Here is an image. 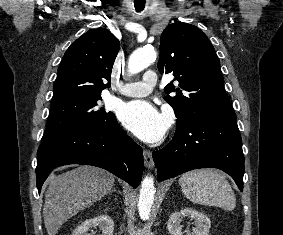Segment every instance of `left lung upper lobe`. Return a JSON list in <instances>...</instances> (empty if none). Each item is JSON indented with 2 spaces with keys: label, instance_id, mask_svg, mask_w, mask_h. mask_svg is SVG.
Wrapping results in <instances>:
<instances>
[{
  "label": "left lung upper lobe",
  "instance_id": "5c2ea615",
  "mask_svg": "<svg viewBox=\"0 0 283 235\" xmlns=\"http://www.w3.org/2000/svg\"><path fill=\"white\" fill-rule=\"evenodd\" d=\"M160 73H172L178 86L170 82L165 97L174 109L176 126L234 113L223 85L217 54L197 27L183 22L167 26L160 39Z\"/></svg>",
  "mask_w": 283,
  "mask_h": 235
}]
</instances>
